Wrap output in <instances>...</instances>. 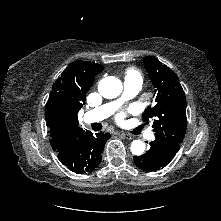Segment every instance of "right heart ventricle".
Returning a JSON list of instances; mask_svg holds the SVG:
<instances>
[{"mask_svg": "<svg viewBox=\"0 0 221 221\" xmlns=\"http://www.w3.org/2000/svg\"><path fill=\"white\" fill-rule=\"evenodd\" d=\"M127 76H140L139 73L135 70H129Z\"/></svg>", "mask_w": 221, "mask_h": 221, "instance_id": "1", "label": "right heart ventricle"}]
</instances>
